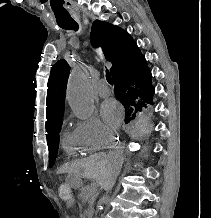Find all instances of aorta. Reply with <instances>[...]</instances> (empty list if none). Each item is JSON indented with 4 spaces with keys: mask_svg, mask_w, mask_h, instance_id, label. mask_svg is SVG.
<instances>
[{
    "mask_svg": "<svg viewBox=\"0 0 211 218\" xmlns=\"http://www.w3.org/2000/svg\"><path fill=\"white\" fill-rule=\"evenodd\" d=\"M67 99L74 114L80 119H88L94 111V100L87 72L75 67L68 79Z\"/></svg>",
    "mask_w": 211,
    "mask_h": 218,
    "instance_id": "obj_1",
    "label": "aorta"
}]
</instances>
